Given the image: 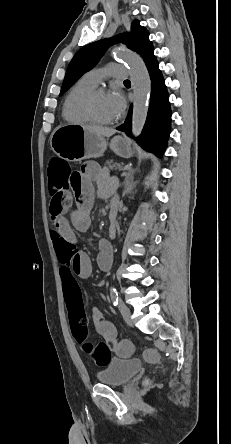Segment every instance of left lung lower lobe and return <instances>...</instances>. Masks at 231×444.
Segmentation results:
<instances>
[{
    "mask_svg": "<svg viewBox=\"0 0 231 444\" xmlns=\"http://www.w3.org/2000/svg\"><path fill=\"white\" fill-rule=\"evenodd\" d=\"M151 79V97L147 119L137 142L147 151L162 156L171 132V108L165 80L152 53L145 61ZM132 106L125 122L117 129L131 136Z\"/></svg>",
    "mask_w": 231,
    "mask_h": 444,
    "instance_id": "0a47b994",
    "label": "left lung lower lobe"
}]
</instances>
